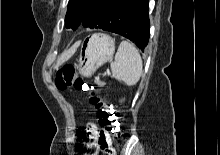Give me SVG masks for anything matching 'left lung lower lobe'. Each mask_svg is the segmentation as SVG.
I'll use <instances>...</instances> for the list:
<instances>
[{
	"mask_svg": "<svg viewBox=\"0 0 220 155\" xmlns=\"http://www.w3.org/2000/svg\"><path fill=\"white\" fill-rule=\"evenodd\" d=\"M80 24L122 35L144 51L149 41L148 0H97Z\"/></svg>",
	"mask_w": 220,
	"mask_h": 155,
	"instance_id": "0a47b994",
	"label": "left lung lower lobe"
}]
</instances>
